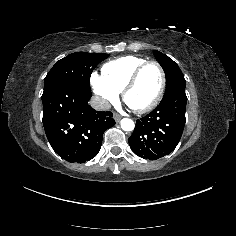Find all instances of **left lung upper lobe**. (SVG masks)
Segmentation results:
<instances>
[{
	"mask_svg": "<svg viewBox=\"0 0 236 236\" xmlns=\"http://www.w3.org/2000/svg\"><path fill=\"white\" fill-rule=\"evenodd\" d=\"M156 60L162 66L166 74V90L165 93L175 88H185V79L179 66L167 55L154 50Z\"/></svg>",
	"mask_w": 236,
	"mask_h": 236,
	"instance_id": "1",
	"label": "left lung upper lobe"
}]
</instances>
